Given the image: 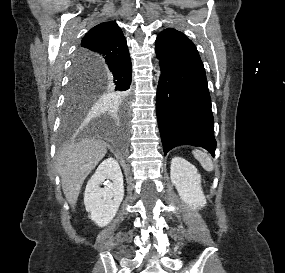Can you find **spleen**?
Returning <instances> with one entry per match:
<instances>
[{
    "label": "spleen",
    "mask_w": 285,
    "mask_h": 273,
    "mask_svg": "<svg viewBox=\"0 0 285 273\" xmlns=\"http://www.w3.org/2000/svg\"><path fill=\"white\" fill-rule=\"evenodd\" d=\"M192 153L206 171L211 172L213 170V162L206 153L200 150H193Z\"/></svg>",
    "instance_id": "1"
}]
</instances>
